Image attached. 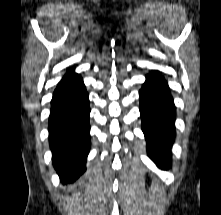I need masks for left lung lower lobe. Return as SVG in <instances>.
I'll use <instances>...</instances> for the list:
<instances>
[{
	"label": "left lung lower lobe",
	"mask_w": 221,
	"mask_h": 215,
	"mask_svg": "<svg viewBox=\"0 0 221 215\" xmlns=\"http://www.w3.org/2000/svg\"><path fill=\"white\" fill-rule=\"evenodd\" d=\"M142 131L149 157L161 169H169L171 145L175 139V106L164 77L158 72L146 76L139 91Z\"/></svg>",
	"instance_id": "left-lung-lower-lobe-1"
}]
</instances>
